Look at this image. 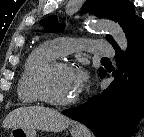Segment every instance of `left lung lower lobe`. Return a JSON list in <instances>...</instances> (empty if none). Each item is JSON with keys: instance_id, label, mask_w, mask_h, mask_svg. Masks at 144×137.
Returning <instances> with one entry per match:
<instances>
[{"instance_id": "0a47b994", "label": "left lung lower lobe", "mask_w": 144, "mask_h": 137, "mask_svg": "<svg viewBox=\"0 0 144 137\" xmlns=\"http://www.w3.org/2000/svg\"><path fill=\"white\" fill-rule=\"evenodd\" d=\"M127 52L114 47L118 69L109 87L88 102L63 111L83 123L97 137H128L135 123L144 116V24L128 37ZM106 72L102 74L105 76Z\"/></svg>"}]
</instances>
